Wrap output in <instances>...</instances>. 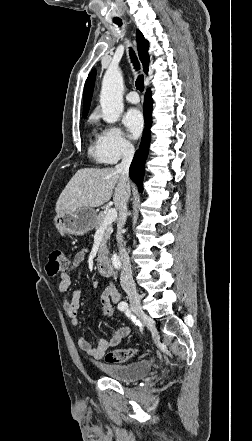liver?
Instances as JSON below:
<instances>
[{
    "mask_svg": "<svg viewBox=\"0 0 252 441\" xmlns=\"http://www.w3.org/2000/svg\"><path fill=\"white\" fill-rule=\"evenodd\" d=\"M113 190V202L118 209L124 194L120 174L114 168L79 169L60 194L55 210L62 213L99 207L111 199Z\"/></svg>",
    "mask_w": 252,
    "mask_h": 441,
    "instance_id": "liver-1",
    "label": "liver"
}]
</instances>
